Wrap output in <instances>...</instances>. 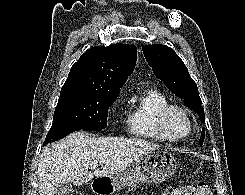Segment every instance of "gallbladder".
I'll list each match as a JSON object with an SVG mask.
<instances>
[{
	"label": "gallbladder",
	"instance_id": "obj_1",
	"mask_svg": "<svg viewBox=\"0 0 245 195\" xmlns=\"http://www.w3.org/2000/svg\"><path fill=\"white\" fill-rule=\"evenodd\" d=\"M72 191L71 183H61L56 190V195H67Z\"/></svg>",
	"mask_w": 245,
	"mask_h": 195
}]
</instances>
